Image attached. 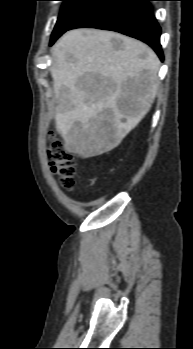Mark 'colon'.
Here are the masks:
<instances>
[{
	"instance_id": "colon-1",
	"label": "colon",
	"mask_w": 193,
	"mask_h": 349,
	"mask_svg": "<svg viewBox=\"0 0 193 349\" xmlns=\"http://www.w3.org/2000/svg\"><path fill=\"white\" fill-rule=\"evenodd\" d=\"M47 152L52 172L57 175L63 188L71 190L76 174L74 156L66 150L64 142L55 137L50 138Z\"/></svg>"
}]
</instances>
